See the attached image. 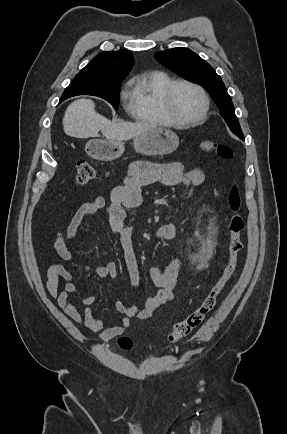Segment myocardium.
<instances>
[{"mask_svg": "<svg viewBox=\"0 0 287 434\" xmlns=\"http://www.w3.org/2000/svg\"><path fill=\"white\" fill-rule=\"evenodd\" d=\"M179 85H187L190 86L192 88H194L195 90L198 91V93L200 94L202 101H203V109L200 113V115L196 118L193 119H181L179 118L174 110H173V93L175 91V89L179 86ZM162 104H163V109L167 115V117L172 121L173 124L176 125H194V124H199L202 121H204L208 115V111H209V107H210V101H209V96L207 94V92L205 91V89L190 80H186V79H177V80H173L171 83H169L167 85V87L164 90L163 93V97H162Z\"/></svg>", "mask_w": 287, "mask_h": 434, "instance_id": "myocardium-1", "label": "myocardium"}]
</instances>
